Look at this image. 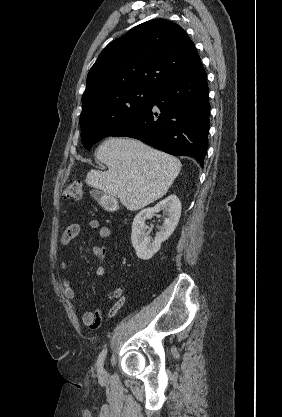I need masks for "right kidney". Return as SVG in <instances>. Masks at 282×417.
Segmentation results:
<instances>
[{"label": "right kidney", "mask_w": 282, "mask_h": 417, "mask_svg": "<svg viewBox=\"0 0 282 417\" xmlns=\"http://www.w3.org/2000/svg\"><path fill=\"white\" fill-rule=\"evenodd\" d=\"M164 211L167 215L159 233H156V237L152 243H150L148 233H146L147 225H145L146 219H151L154 213ZM181 217V202L176 194H169L160 202H157L155 206H149V209H142L132 223V245L136 251L138 259L143 261H149L153 255L159 251L161 243L169 239L174 229H176L179 219Z\"/></svg>", "instance_id": "ca27d5eb"}]
</instances>
